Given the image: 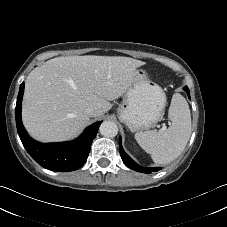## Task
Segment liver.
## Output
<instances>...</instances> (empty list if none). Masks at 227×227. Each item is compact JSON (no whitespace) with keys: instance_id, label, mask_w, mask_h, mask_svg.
Here are the masks:
<instances>
[{"instance_id":"obj_1","label":"liver","mask_w":227,"mask_h":227,"mask_svg":"<svg viewBox=\"0 0 227 227\" xmlns=\"http://www.w3.org/2000/svg\"><path fill=\"white\" fill-rule=\"evenodd\" d=\"M145 62L121 56H66L33 69L25 82L22 120L38 141H64L88 124L85 109L94 117L112 108L109 101L121 97Z\"/></svg>"}]
</instances>
